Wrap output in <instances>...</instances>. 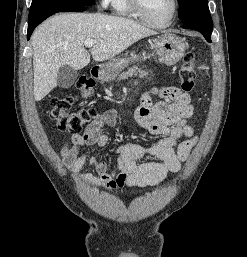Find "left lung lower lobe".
<instances>
[{"mask_svg":"<svg viewBox=\"0 0 247 257\" xmlns=\"http://www.w3.org/2000/svg\"><path fill=\"white\" fill-rule=\"evenodd\" d=\"M182 27L185 29L199 31L208 42H211L212 23H208L200 19H188L184 21V25Z\"/></svg>","mask_w":247,"mask_h":257,"instance_id":"obj_1","label":"left lung lower lobe"}]
</instances>
